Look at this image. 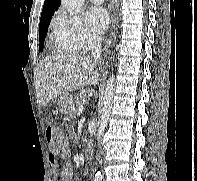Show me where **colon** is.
Returning a JSON list of instances; mask_svg holds the SVG:
<instances>
[{"label": "colon", "mask_w": 197, "mask_h": 181, "mask_svg": "<svg viewBox=\"0 0 197 181\" xmlns=\"http://www.w3.org/2000/svg\"><path fill=\"white\" fill-rule=\"evenodd\" d=\"M46 139L53 153H58L63 146V137L60 130L55 126L46 129Z\"/></svg>", "instance_id": "colon-1"}]
</instances>
